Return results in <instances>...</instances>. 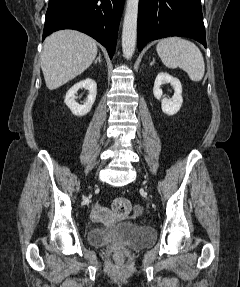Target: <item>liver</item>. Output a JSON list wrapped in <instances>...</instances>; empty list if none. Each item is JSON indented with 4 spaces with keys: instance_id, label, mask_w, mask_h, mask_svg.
<instances>
[{
    "instance_id": "liver-1",
    "label": "liver",
    "mask_w": 240,
    "mask_h": 287,
    "mask_svg": "<svg viewBox=\"0 0 240 287\" xmlns=\"http://www.w3.org/2000/svg\"><path fill=\"white\" fill-rule=\"evenodd\" d=\"M96 55V41L84 33L60 30L48 36L41 54L47 88L57 89L83 73Z\"/></svg>"
}]
</instances>
